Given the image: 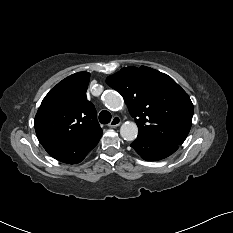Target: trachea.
<instances>
[{"label":"trachea","instance_id":"3493384b","mask_svg":"<svg viewBox=\"0 0 233 233\" xmlns=\"http://www.w3.org/2000/svg\"><path fill=\"white\" fill-rule=\"evenodd\" d=\"M99 121L102 124H108L111 121V114L106 110L101 111L99 114Z\"/></svg>","mask_w":233,"mask_h":233}]
</instances>
